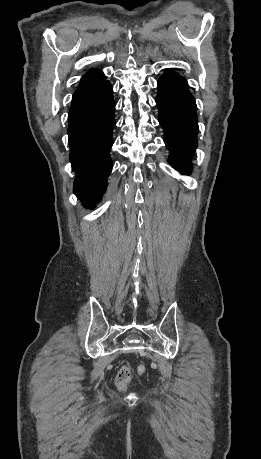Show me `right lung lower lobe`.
Segmentation results:
<instances>
[{
	"mask_svg": "<svg viewBox=\"0 0 261 459\" xmlns=\"http://www.w3.org/2000/svg\"><path fill=\"white\" fill-rule=\"evenodd\" d=\"M115 104L109 82L72 103L68 115L74 193L86 207L99 202L112 170Z\"/></svg>",
	"mask_w": 261,
	"mask_h": 459,
	"instance_id": "right-lung-lower-lobe-1",
	"label": "right lung lower lobe"
}]
</instances>
